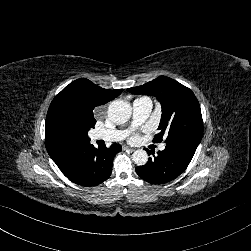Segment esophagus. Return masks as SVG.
<instances>
[{"label": "esophagus", "mask_w": 251, "mask_h": 251, "mask_svg": "<svg viewBox=\"0 0 251 251\" xmlns=\"http://www.w3.org/2000/svg\"><path fill=\"white\" fill-rule=\"evenodd\" d=\"M124 150H129L130 152H133L135 149L129 146H123Z\"/></svg>", "instance_id": "34e87169"}]
</instances>
